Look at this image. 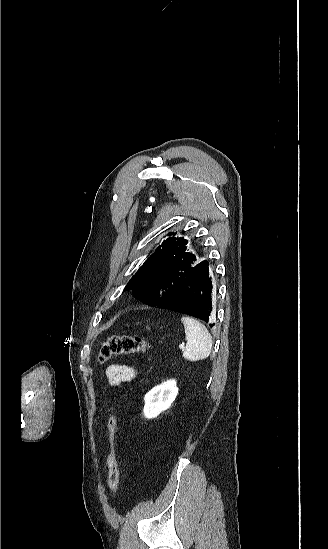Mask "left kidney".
Returning <instances> with one entry per match:
<instances>
[{
	"label": "left kidney",
	"mask_w": 328,
	"mask_h": 549,
	"mask_svg": "<svg viewBox=\"0 0 328 549\" xmlns=\"http://www.w3.org/2000/svg\"><path fill=\"white\" fill-rule=\"evenodd\" d=\"M178 391L175 379H170V381L151 389L144 397V415L146 419H155L162 411H167L175 401Z\"/></svg>",
	"instance_id": "1"
}]
</instances>
